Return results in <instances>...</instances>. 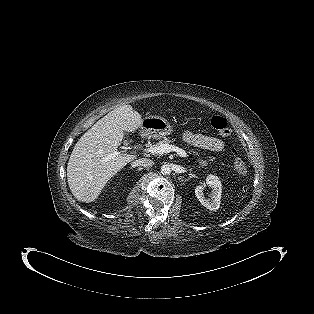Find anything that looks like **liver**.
<instances>
[{
	"label": "liver",
	"mask_w": 314,
	"mask_h": 314,
	"mask_svg": "<svg viewBox=\"0 0 314 314\" xmlns=\"http://www.w3.org/2000/svg\"><path fill=\"white\" fill-rule=\"evenodd\" d=\"M142 118L131 105H122L98 120L73 148L67 165V180L73 196L86 203L95 201L107 182L135 155L120 153L113 159L106 158L117 152L124 132L140 128Z\"/></svg>",
	"instance_id": "liver-1"
}]
</instances>
